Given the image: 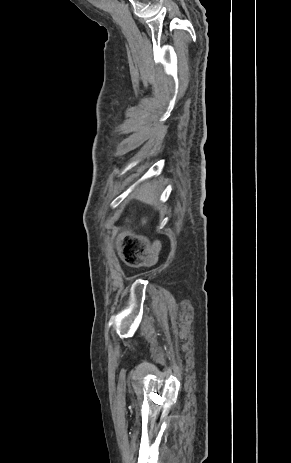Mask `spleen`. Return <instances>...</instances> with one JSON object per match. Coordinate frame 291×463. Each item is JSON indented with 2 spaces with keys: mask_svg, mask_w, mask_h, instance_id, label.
<instances>
[{
  "mask_svg": "<svg viewBox=\"0 0 291 463\" xmlns=\"http://www.w3.org/2000/svg\"><path fill=\"white\" fill-rule=\"evenodd\" d=\"M159 194L160 188L158 184L156 182H148L136 189L131 194V198L139 200L151 206H156Z\"/></svg>",
  "mask_w": 291,
  "mask_h": 463,
  "instance_id": "obj_1",
  "label": "spleen"
}]
</instances>
